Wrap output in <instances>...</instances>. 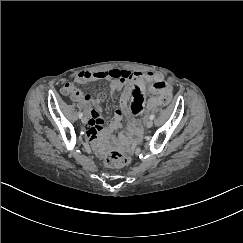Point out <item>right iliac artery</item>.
Here are the masks:
<instances>
[{
    "label": "right iliac artery",
    "instance_id": "obj_1",
    "mask_svg": "<svg viewBox=\"0 0 243 243\" xmlns=\"http://www.w3.org/2000/svg\"><path fill=\"white\" fill-rule=\"evenodd\" d=\"M82 116H83V113L80 112V113H79V118H82Z\"/></svg>",
    "mask_w": 243,
    "mask_h": 243
}]
</instances>
